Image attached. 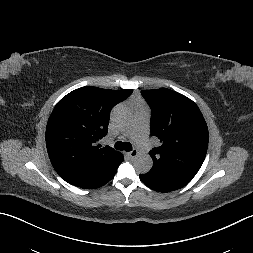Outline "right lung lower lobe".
I'll use <instances>...</instances> for the list:
<instances>
[{"mask_svg": "<svg viewBox=\"0 0 253 253\" xmlns=\"http://www.w3.org/2000/svg\"><path fill=\"white\" fill-rule=\"evenodd\" d=\"M123 161V155L120 153V156H119V159L117 161V163L114 165V167L109 171V173L106 175V177L101 181L99 182L96 186L92 187V188H88V189H93V188H98L104 184H106L107 182H109L113 177L114 175L116 174L117 172V168L118 166L120 165V163Z\"/></svg>", "mask_w": 253, "mask_h": 253, "instance_id": "obj_1", "label": "right lung lower lobe"}]
</instances>
